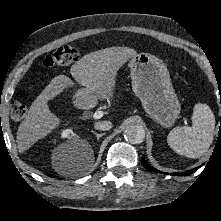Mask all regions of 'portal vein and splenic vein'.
Instances as JSON below:
<instances>
[{"label":"portal vein and splenic vein","mask_w":221,"mask_h":221,"mask_svg":"<svg viewBox=\"0 0 221 221\" xmlns=\"http://www.w3.org/2000/svg\"><path fill=\"white\" fill-rule=\"evenodd\" d=\"M103 116V112L102 111H96L94 114H93V118L98 120L100 118H102Z\"/></svg>","instance_id":"1"}]
</instances>
